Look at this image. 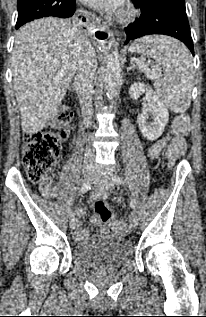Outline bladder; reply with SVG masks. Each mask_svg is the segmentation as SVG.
<instances>
[{"label":"bladder","mask_w":206,"mask_h":317,"mask_svg":"<svg viewBox=\"0 0 206 317\" xmlns=\"http://www.w3.org/2000/svg\"><path fill=\"white\" fill-rule=\"evenodd\" d=\"M133 254L130 240L118 236H99L74 245L73 258L84 268H118Z\"/></svg>","instance_id":"bladder-1"}]
</instances>
